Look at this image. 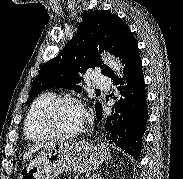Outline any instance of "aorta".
I'll return each mask as SVG.
<instances>
[{
    "label": "aorta",
    "mask_w": 183,
    "mask_h": 179,
    "mask_svg": "<svg viewBox=\"0 0 183 179\" xmlns=\"http://www.w3.org/2000/svg\"><path fill=\"white\" fill-rule=\"evenodd\" d=\"M103 62L110 67L115 74H117L118 77L122 76L121 72V63L119 62L118 59H116L114 56L110 54H102L101 56Z\"/></svg>",
    "instance_id": "aorta-1"
}]
</instances>
